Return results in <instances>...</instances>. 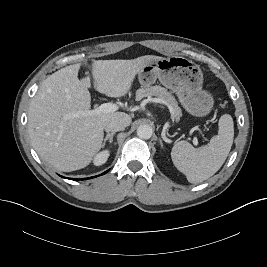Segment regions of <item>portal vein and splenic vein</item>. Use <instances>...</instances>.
Here are the masks:
<instances>
[{
  "label": "portal vein and splenic vein",
  "mask_w": 267,
  "mask_h": 267,
  "mask_svg": "<svg viewBox=\"0 0 267 267\" xmlns=\"http://www.w3.org/2000/svg\"><path fill=\"white\" fill-rule=\"evenodd\" d=\"M117 109H118V106L114 103H104L94 110H90L86 113H83V115H98V114L111 113V112H115ZM194 144L196 146L198 145V141L196 139H194Z\"/></svg>",
  "instance_id": "1"
}]
</instances>
